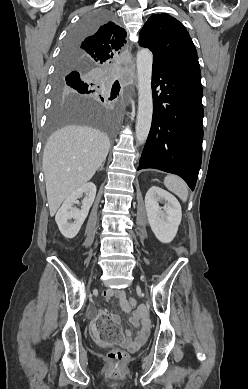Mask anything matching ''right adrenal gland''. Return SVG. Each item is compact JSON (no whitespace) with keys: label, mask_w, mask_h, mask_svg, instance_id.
<instances>
[{"label":"right adrenal gland","mask_w":248,"mask_h":389,"mask_svg":"<svg viewBox=\"0 0 248 389\" xmlns=\"http://www.w3.org/2000/svg\"><path fill=\"white\" fill-rule=\"evenodd\" d=\"M103 166H104V163L101 164V166L99 167V170H102Z\"/></svg>","instance_id":"2a0ac1e0"}]
</instances>
